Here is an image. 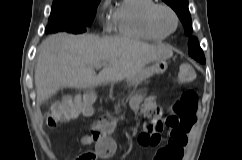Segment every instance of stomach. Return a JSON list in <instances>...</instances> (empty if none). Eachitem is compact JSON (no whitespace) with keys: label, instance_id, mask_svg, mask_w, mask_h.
I'll return each mask as SVG.
<instances>
[{"label":"stomach","instance_id":"1","mask_svg":"<svg viewBox=\"0 0 242 160\" xmlns=\"http://www.w3.org/2000/svg\"><path fill=\"white\" fill-rule=\"evenodd\" d=\"M168 67V64L165 60L155 62L150 68L136 75L130 80H127L129 87L133 86L137 88L142 83H147L148 79L154 74H163Z\"/></svg>","mask_w":242,"mask_h":160}]
</instances>
